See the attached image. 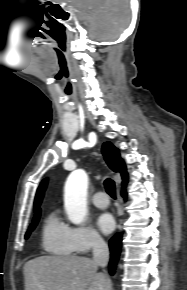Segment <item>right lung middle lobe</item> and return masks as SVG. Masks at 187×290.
I'll list each match as a JSON object with an SVG mask.
<instances>
[{
	"label": "right lung middle lobe",
	"mask_w": 187,
	"mask_h": 290,
	"mask_svg": "<svg viewBox=\"0 0 187 290\" xmlns=\"http://www.w3.org/2000/svg\"><path fill=\"white\" fill-rule=\"evenodd\" d=\"M39 217L40 215H38L35 219H33V222L32 224L30 225L29 229H28V232L26 233L25 235V238H28L30 232L33 231V229L35 228V226L37 225L38 221H39Z\"/></svg>",
	"instance_id": "obj_1"
}]
</instances>
